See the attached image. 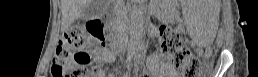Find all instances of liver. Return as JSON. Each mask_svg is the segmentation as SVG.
<instances>
[{
  "label": "liver",
  "mask_w": 258,
  "mask_h": 77,
  "mask_svg": "<svg viewBox=\"0 0 258 77\" xmlns=\"http://www.w3.org/2000/svg\"><path fill=\"white\" fill-rule=\"evenodd\" d=\"M91 0H61L62 28L70 27L76 18L82 15L84 8Z\"/></svg>",
  "instance_id": "liver-1"
}]
</instances>
